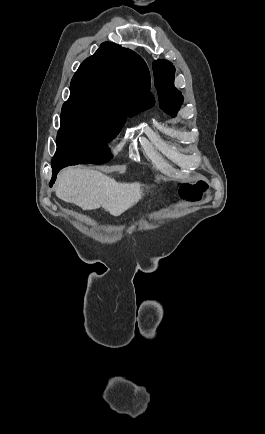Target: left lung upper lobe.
I'll return each instance as SVG.
<instances>
[{
	"instance_id": "obj_1",
	"label": "left lung upper lobe",
	"mask_w": 265,
	"mask_h": 434,
	"mask_svg": "<svg viewBox=\"0 0 265 434\" xmlns=\"http://www.w3.org/2000/svg\"><path fill=\"white\" fill-rule=\"evenodd\" d=\"M153 73L160 107L175 117L183 103L181 92L174 87L175 67L167 60H156L153 62Z\"/></svg>"
}]
</instances>
